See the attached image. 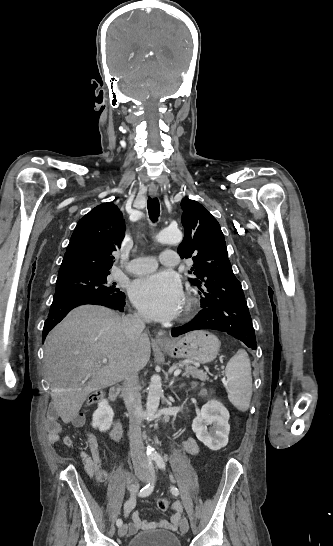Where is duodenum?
<instances>
[{"label":"duodenum","mask_w":333,"mask_h":546,"mask_svg":"<svg viewBox=\"0 0 333 546\" xmlns=\"http://www.w3.org/2000/svg\"><path fill=\"white\" fill-rule=\"evenodd\" d=\"M120 388L119 387H112L109 391V399L112 404H114L119 396ZM111 436L116 441H120L123 438L124 435V428L123 424L119 419H115L112 424L111 428Z\"/></svg>","instance_id":"1"}]
</instances>
